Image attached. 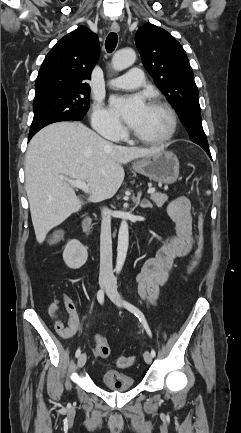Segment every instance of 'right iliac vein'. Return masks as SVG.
I'll return each instance as SVG.
<instances>
[{
  "instance_id": "right-iliac-vein-1",
  "label": "right iliac vein",
  "mask_w": 241,
  "mask_h": 433,
  "mask_svg": "<svg viewBox=\"0 0 241 433\" xmlns=\"http://www.w3.org/2000/svg\"><path fill=\"white\" fill-rule=\"evenodd\" d=\"M107 286H108V283H107L106 281H101V282H100V287H101V288H105V287H107ZM86 359H87L86 353H82V354L79 356V358H78V362H77V365H78L79 368H82V367L85 365V363H86Z\"/></svg>"
}]
</instances>
